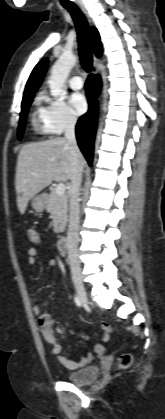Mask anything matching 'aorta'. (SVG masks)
<instances>
[{
  "label": "aorta",
  "mask_w": 165,
  "mask_h": 419,
  "mask_svg": "<svg viewBox=\"0 0 165 419\" xmlns=\"http://www.w3.org/2000/svg\"><path fill=\"white\" fill-rule=\"evenodd\" d=\"M77 58L71 53H63L51 69L48 80L49 87L53 96H59L64 90L65 80L76 64Z\"/></svg>",
  "instance_id": "1"
}]
</instances>
